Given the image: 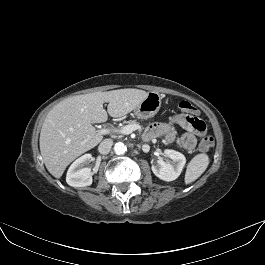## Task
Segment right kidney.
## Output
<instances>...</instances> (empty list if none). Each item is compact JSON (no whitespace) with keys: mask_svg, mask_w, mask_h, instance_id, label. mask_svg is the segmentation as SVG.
<instances>
[{"mask_svg":"<svg viewBox=\"0 0 265 265\" xmlns=\"http://www.w3.org/2000/svg\"><path fill=\"white\" fill-rule=\"evenodd\" d=\"M91 154H84L76 159L69 167L66 175V182L72 187L90 186L93 181L91 169L84 167L92 161Z\"/></svg>","mask_w":265,"mask_h":265,"instance_id":"right-kidney-1","label":"right kidney"}]
</instances>
